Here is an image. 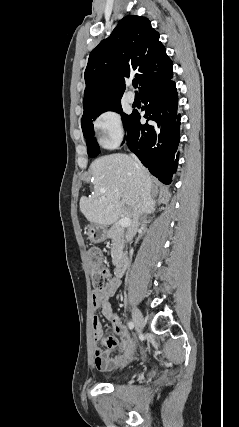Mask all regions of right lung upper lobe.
<instances>
[{
    "instance_id": "right-lung-upper-lobe-1",
    "label": "right lung upper lobe",
    "mask_w": 239,
    "mask_h": 427,
    "mask_svg": "<svg viewBox=\"0 0 239 427\" xmlns=\"http://www.w3.org/2000/svg\"><path fill=\"white\" fill-rule=\"evenodd\" d=\"M173 63L159 41V33L143 16L129 15L92 50L85 70L84 115L120 102L125 78L135 75L139 90L172 72Z\"/></svg>"
}]
</instances>
